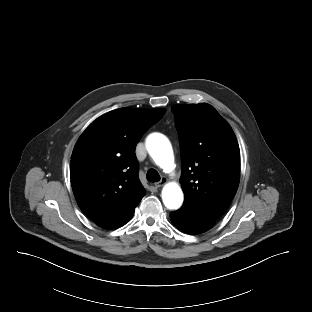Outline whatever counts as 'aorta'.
Segmentation results:
<instances>
[{
	"instance_id": "aorta-1",
	"label": "aorta",
	"mask_w": 312,
	"mask_h": 312,
	"mask_svg": "<svg viewBox=\"0 0 312 312\" xmlns=\"http://www.w3.org/2000/svg\"><path fill=\"white\" fill-rule=\"evenodd\" d=\"M146 148L154 162L164 170L174 165L172 146L162 134H150L146 140ZM162 199L168 209H178L183 202V192L176 183H168L162 190Z\"/></svg>"
}]
</instances>
